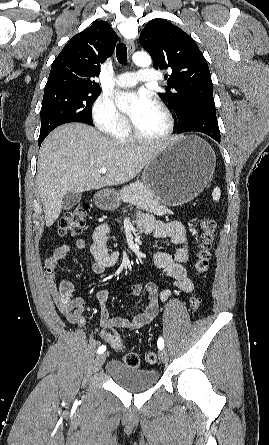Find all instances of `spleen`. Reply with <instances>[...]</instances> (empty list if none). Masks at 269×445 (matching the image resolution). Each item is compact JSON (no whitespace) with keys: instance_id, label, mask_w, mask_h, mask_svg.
Listing matches in <instances>:
<instances>
[{"instance_id":"3e777b00","label":"spleen","mask_w":269,"mask_h":445,"mask_svg":"<svg viewBox=\"0 0 269 445\" xmlns=\"http://www.w3.org/2000/svg\"><path fill=\"white\" fill-rule=\"evenodd\" d=\"M221 195V190L219 187H216L212 192V197L214 201H219Z\"/></svg>"}]
</instances>
